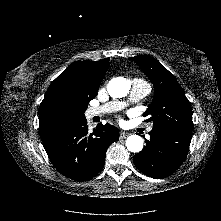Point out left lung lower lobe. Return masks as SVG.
Returning <instances> with one entry per match:
<instances>
[{
  "label": "left lung lower lobe",
  "mask_w": 221,
  "mask_h": 221,
  "mask_svg": "<svg viewBox=\"0 0 221 221\" xmlns=\"http://www.w3.org/2000/svg\"><path fill=\"white\" fill-rule=\"evenodd\" d=\"M146 146L133 157L135 166L152 178H164L184 162L192 133L152 128Z\"/></svg>",
  "instance_id": "1"
}]
</instances>
